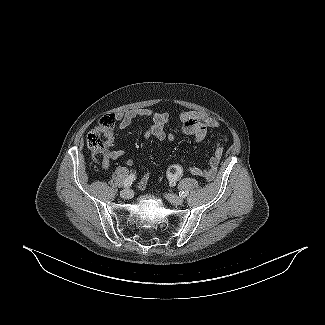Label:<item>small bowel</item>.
Masks as SVG:
<instances>
[{"mask_svg":"<svg viewBox=\"0 0 325 325\" xmlns=\"http://www.w3.org/2000/svg\"><path fill=\"white\" fill-rule=\"evenodd\" d=\"M118 122V128L120 130L129 127L132 122L137 118H148L152 121L149 129L144 133V138L149 139L150 137H155L160 141L172 142L175 139L173 134H168L165 131V125L169 121V115L167 113L156 112L149 108H134L125 111L124 113H118L115 116ZM180 121L182 123V132L191 135L197 142L203 141L208 130L211 128H216L218 123L208 117H205L197 112L186 111L180 114ZM224 148L222 142L219 141L216 144L214 153L209 160V164L206 168H200L190 165H185L187 171L195 176L203 178L205 180L214 179L219 162L223 155ZM124 155V150H109L105 149L102 152V167L103 169H108L110 163L119 157ZM132 160H128V164L131 165ZM149 180V173H145L138 183L139 189H144Z\"/></svg>","mask_w":325,"mask_h":325,"instance_id":"c3829d8e","label":"small bowel"}]
</instances>
